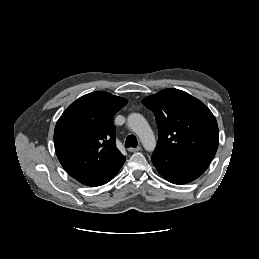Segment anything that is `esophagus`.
<instances>
[{
  "label": "esophagus",
  "instance_id": "obj_1",
  "mask_svg": "<svg viewBox=\"0 0 259 259\" xmlns=\"http://www.w3.org/2000/svg\"><path fill=\"white\" fill-rule=\"evenodd\" d=\"M141 149H142V148H141L140 146H138V147H136V148L131 147V148L128 149V151H129V152H137V151H140Z\"/></svg>",
  "mask_w": 259,
  "mask_h": 259
}]
</instances>
